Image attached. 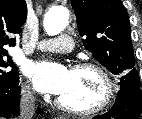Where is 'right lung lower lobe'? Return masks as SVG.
I'll list each match as a JSON object with an SVG mask.
<instances>
[{
  "label": "right lung lower lobe",
  "instance_id": "right-lung-lower-lobe-1",
  "mask_svg": "<svg viewBox=\"0 0 142 119\" xmlns=\"http://www.w3.org/2000/svg\"><path fill=\"white\" fill-rule=\"evenodd\" d=\"M17 84L9 88H0V116L10 118L19 114L20 87Z\"/></svg>",
  "mask_w": 142,
  "mask_h": 119
}]
</instances>
